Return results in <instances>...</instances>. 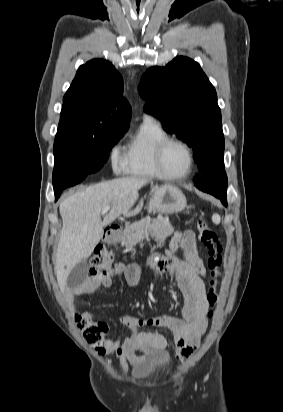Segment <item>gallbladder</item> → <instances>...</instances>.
Listing matches in <instances>:
<instances>
[{"instance_id":"1","label":"gallbladder","mask_w":283,"mask_h":412,"mask_svg":"<svg viewBox=\"0 0 283 412\" xmlns=\"http://www.w3.org/2000/svg\"><path fill=\"white\" fill-rule=\"evenodd\" d=\"M88 275L87 260H82L76 264L70 271L67 278V286L69 288H76L82 284Z\"/></svg>"}]
</instances>
